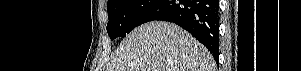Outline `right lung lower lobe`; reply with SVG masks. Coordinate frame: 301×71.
Masks as SVG:
<instances>
[{
	"label": "right lung lower lobe",
	"instance_id": "1",
	"mask_svg": "<svg viewBox=\"0 0 301 71\" xmlns=\"http://www.w3.org/2000/svg\"><path fill=\"white\" fill-rule=\"evenodd\" d=\"M164 20L178 24L219 57L218 0H157L141 17L139 25Z\"/></svg>",
	"mask_w": 301,
	"mask_h": 71
}]
</instances>
